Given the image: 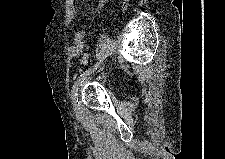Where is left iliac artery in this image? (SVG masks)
Segmentation results:
<instances>
[{
  "label": "left iliac artery",
  "instance_id": "left-iliac-artery-1",
  "mask_svg": "<svg viewBox=\"0 0 225 159\" xmlns=\"http://www.w3.org/2000/svg\"><path fill=\"white\" fill-rule=\"evenodd\" d=\"M99 63H96L93 67L89 68L88 70H86L85 72L81 73L80 76L77 78V80L75 81L71 93H72V97H76L77 96V92H78V88L79 86L82 84V82H84L85 78L90 75V73L93 72L94 69H96L98 67Z\"/></svg>",
  "mask_w": 225,
  "mask_h": 159
}]
</instances>
